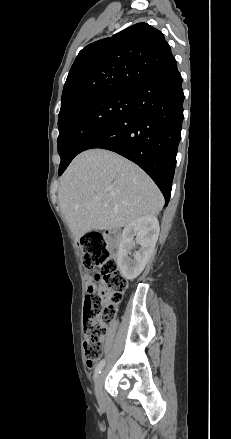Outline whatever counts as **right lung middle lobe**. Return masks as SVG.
Wrapping results in <instances>:
<instances>
[{"instance_id": "obj_1", "label": "right lung middle lobe", "mask_w": 231, "mask_h": 439, "mask_svg": "<svg viewBox=\"0 0 231 439\" xmlns=\"http://www.w3.org/2000/svg\"><path fill=\"white\" fill-rule=\"evenodd\" d=\"M133 94H107L81 101L58 116L59 172L65 170L80 148L99 130L128 113Z\"/></svg>"}]
</instances>
